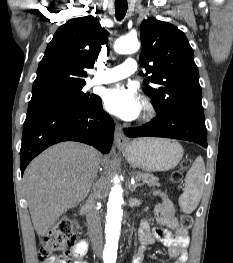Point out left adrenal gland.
I'll return each instance as SVG.
<instances>
[{"mask_svg":"<svg viewBox=\"0 0 233 263\" xmlns=\"http://www.w3.org/2000/svg\"><path fill=\"white\" fill-rule=\"evenodd\" d=\"M138 186H141V184H135V185H131L130 183H129V190L131 191V192H135V190H136V188L138 187Z\"/></svg>","mask_w":233,"mask_h":263,"instance_id":"left-adrenal-gland-1","label":"left adrenal gland"}]
</instances>
